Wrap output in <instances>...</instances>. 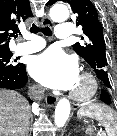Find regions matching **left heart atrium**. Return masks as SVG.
<instances>
[{
	"mask_svg": "<svg viewBox=\"0 0 117 136\" xmlns=\"http://www.w3.org/2000/svg\"><path fill=\"white\" fill-rule=\"evenodd\" d=\"M29 72L42 85L63 90L74 88L79 76L77 61L55 47L34 56Z\"/></svg>",
	"mask_w": 117,
	"mask_h": 136,
	"instance_id": "left-heart-atrium-1",
	"label": "left heart atrium"
}]
</instances>
